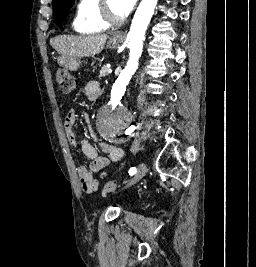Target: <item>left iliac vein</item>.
<instances>
[{
  "instance_id": "1",
  "label": "left iliac vein",
  "mask_w": 256,
  "mask_h": 267,
  "mask_svg": "<svg viewBox=\"0 0 256 267\" xmlns=\"http://www.w3.org/2000/svg\"><path fill=\"white\" fill-rule=\"evenodd\" d=\"M147 173V166L145 163H140L138 168H137V172L135 174V176L133 177V179L128 182L127 186L133 185L136 182H138L142 176H144Z\"/></svg>"
}]
</instances>
